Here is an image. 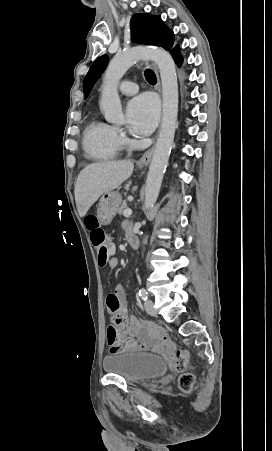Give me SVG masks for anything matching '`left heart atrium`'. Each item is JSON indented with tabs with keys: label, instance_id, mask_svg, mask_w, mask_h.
Returning a JSON list of instances; mask_svg holds the SVG:
<instances>
[{
	"label": "left heart atrium",
	"instance_id": "left-heart-atrium-1",
	"mask_svg": "<svg viewBox=\"0 0 272 451\" xmlns=\"http://www.w3.org/2000/svg\"><path fill=\"white\" fill-rule=\"evenodd\" d=\"M158 102L152 95H141L128 104L127 122L129 129L138 135L149 134L158 118Z\"/></svg>",
	"mask_w": 272,
	"mask_h": 451
}]
</instances>
